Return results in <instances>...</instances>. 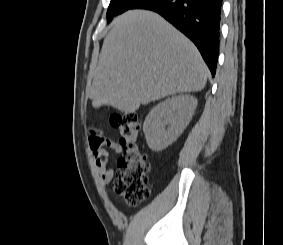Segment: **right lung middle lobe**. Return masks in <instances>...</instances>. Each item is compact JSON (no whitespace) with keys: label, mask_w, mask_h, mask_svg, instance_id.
<instances>
[{"label":"right lung middle lobe","mask_w":283,"mask_h":245,"mask_svg":"<svg viewBox=\"0 0 283 245\" xmlns=\"http://www.w3.org/2000/svg\"><path fill=\"white\" fill-rule=\"evenodd\" d=\"M141 0H111L107 11V22H110L112 18L124 11L131 9Z\"/></svg>","instance_id":"dd1d6c3e"}]
</instances>
